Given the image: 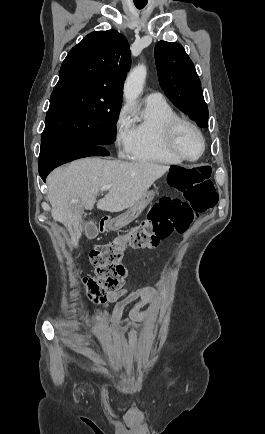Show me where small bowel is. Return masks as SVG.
I'll use <instances>...</instances> for the list:
<instances>
[{
  "instance_id": "1",
  "label": "small bowel",
  "mask_w": 265,
  "mask_h": 434,
  "mask_svg": "<svg viewBox=\"0 0 265 434\" xmlns=\"http://www.w3.org/2000/svg\"><path fill=\"white\" fill-rule=\"evenodd\" d=\"M165 283L161 280L156 282L153 286L143 287L136 290H129L128 288H120L107 297V301L103 306V312L108 315L107 306L108 304H114V311L110 317V324L115 330V340L117 348H121L123 344L122 333L130 328L131 323L129 319L124 321V325L121 328H117V323L120 321L121 314L123 310L130 304H134V308L131 311V320L139 321L144 318H150L154 314L152 312H140L139 307L144 304L154 300L156 296V290L163 288ZM134 335L137 332L132 331Z\"/></svg>"
}]
</instances>
